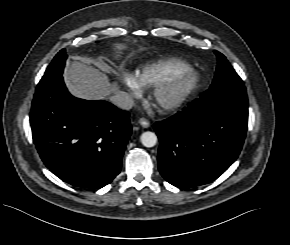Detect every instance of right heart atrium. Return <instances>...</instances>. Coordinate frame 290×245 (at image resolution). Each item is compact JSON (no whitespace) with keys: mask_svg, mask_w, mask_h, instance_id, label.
<instances>
[{"mask_svg":"<svg viewBox=\"0 0 290 245\" xmlns=\"http://www.w3.org/2000/svg\"><path fill=\"white\" fill-rule=\"evenodd\" d=\"M117 81L121 84L133 97H137L140 93V88L135 83L133 76L126 72L118 75Z\"/></svg>","mask_w":290,"mask_h":245,"instance_id":"1","label":"right heart atrium"}]
</instances>
